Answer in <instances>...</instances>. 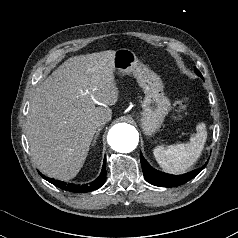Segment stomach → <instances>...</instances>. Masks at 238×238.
Listing matches in <instances>:
<instances>
[{"mask_svg":"<svg viewBox=\"0 0 238 238\" xmlns=\"http://www.w3.org/2000/svg\"><path fill=\"white\" fill-rule=\"evenodd\" d=\"M115 70L121 74L133 73L142 87L145 97L142 102L140 126L147 136L154 135L162 126L171 104L163 92L161 78L139 62L134 52L119 49L114 58Z\"/></svg>","mask_w":238,"mask_h":238,"instance_id":"obj_1","label":"stomach"}]
</instances>
